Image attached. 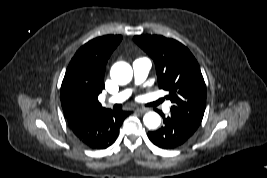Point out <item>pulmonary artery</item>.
Instances as JSON below:
<instances>
[{
	"mask_svg": "<svg viewBox=\"0 0 267 178\" xmlns=\"http://www.w3.org/2000/svg\"><path fill=\"white\" fill-rule=\"evenodd\" d=\"M150 68H151L150 60L146 58H140L135 60L133 63V72L135 81L137 83L144 81L149 73ZM130 94H131L130 89L124 90L116 95H113L105 99L104 104L110 105V104L121 103L125 101L130 96ZM166 110L168 111V108Z\"/></svg>",
	"mask_w": 267,
	"mask_h": 178,
	"instance_id": "1",
	"label": "pulmonary artery"
}]
</instances>
